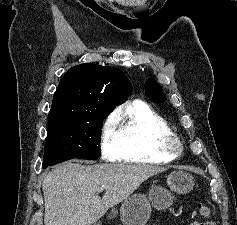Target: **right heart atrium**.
I'll list each match as a JSON object with an SVG mask.
<instances>
[{"instance_id": "d8ad5b80", "label": "right heart atrium", "mask_w": 237, "mask_h": 225, "mask_svg": "<svg viewBox=\"0 0 237 225\" xmlns=\"http://www.w3.org/2000/svg\"><path fill=\"white\" fill-rule=\"evenodd\" d=\"M119 148V138L117 131V117L108 116L102 123L100 129V149L102 157L113 161Z\"/></svg>"}]
</instances>
